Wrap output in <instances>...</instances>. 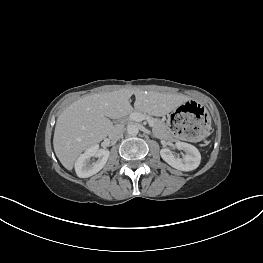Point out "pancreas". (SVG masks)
I'll use <instances>...</instances> for the list:
<instances>
[{"instance_id":"1","label":"pancreas","mask_w":263,"mask_h":263,"mask_svg":"<svg viewBox=\"0 0 263 263\" xmlns=\"http://www.w3.org/2000/svg\"><path fill=\"white\" fill-rule=\"evenodd\" d=\"M136 112L141 113L146 117H149L154 122L153 132L156 134V136H158L159 138H162V139H170L169 128L162 120L157 119V118H153L144 112H140V111H136ZM129 118L131 119L130 116H129Z\"/></svg>"}]
</instances>
